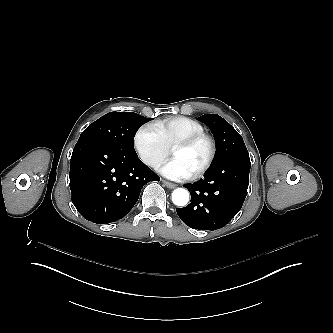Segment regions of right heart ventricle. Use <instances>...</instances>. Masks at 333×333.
I'll use <instances>...</instances> for the list:
<instances>
[{"mask_svg": "<svg viewBox=\"0 0 333 333\" xmlns=\"http://www.w3.org/2000/svg\"><path fill=\"white\" fill-rule=\"evenodd\" d=\"M170 149L184 138L204 133L203 126L188 117L171 116L156 125Z\"/></svg>", "mask_w": 333, "mask_h": 333, "instance_id": "obj_1", "label": "right heart ventricle"}]
</instances>
